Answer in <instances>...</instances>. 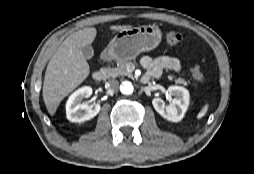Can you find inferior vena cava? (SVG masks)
<instances>
[{"label": "inferior vena cava", "mask_w": 254, "mask_h": 174, "mask_svg": "<svg viewBox=\"0 0 254 174\" xmlns=\"http://www.w3.org/2000/svg\"><path fill=\"white\" fill-rule=\"evenodd\" d=\"M108 86L111 90L116 91L119 86V82L116 80H112L108 83Z\"/></svg>", "instance_id": "1"}]
</instances>
